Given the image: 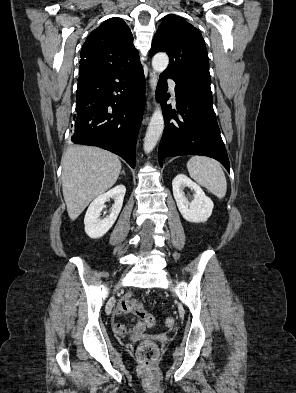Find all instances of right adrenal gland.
<instances>
[{
  "instance_id": "right-adrenal-gland-1",
  "label": "right adrenal gland",
  "mask_w": 296,
  "mask_h": 393,
  "mask_svg": "<svg viewBox=\"0 0 296 393\" xmlns=\"http://www.w3.org/2000/svg\"><path fill=\"white\" fill-rule=\"evenodd\" d=\"M121 174L125 175V171L123 170V171L121 172Z\"/></svg>"
}]
</instances>
